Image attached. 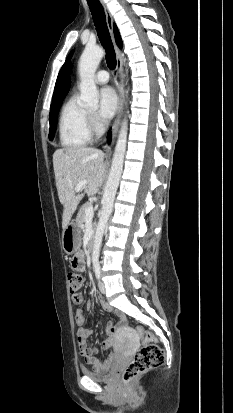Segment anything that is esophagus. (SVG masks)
Wrapping results in <instances>:
<instances>
[{"instance_id": "34e87169", "label": "esophagus", "mask_w": 233, "mask_h": 413, "mask_svg": "<svg viewBox=\"0 0 233 413\" xmlns=\"http://www.w3.org/2000/svg\"><path fill=\"white\" fill-rule=\"evenodd\" d=\"M100 3L102 4V7L104 9L105 17H106V23L107 27L109 30V33L111 35V39L115 48L116 52V72H115V84L118 92V109H117V116L115 118V121L113 123L112 127V140L116 137V134L118 132L119 126L121 124V118H122V113H123V103H124V88L122 84V72H123V64H122V59H121V50L117 46L115 39H114V33H113V17L104 2V0H100ZM105 156L106 158H109L111 155V144L107 143L105 146Z\"/></svg>"}]
</instances>
